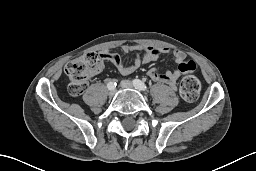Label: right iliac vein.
Returning <instances> with one entry per match:
<instances>
[{"label": "right iliac vein", "instance_id": "1", "mask_svg": "<svg viewBox=\"0 0 256 171\" xmlns=\"http://www.w3.org/2000/svg\"><path fill=\"white\" fill-rule=\"evenodd\" d=\"M115 93H116V89L115 88L109 89V95L110 96H114Z\"/></svg>", "mask_w": 256, "mask_h": 171}]
</instances>
